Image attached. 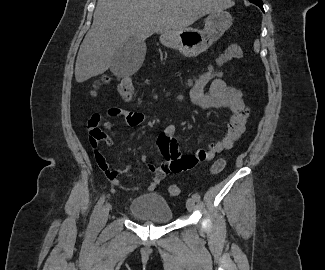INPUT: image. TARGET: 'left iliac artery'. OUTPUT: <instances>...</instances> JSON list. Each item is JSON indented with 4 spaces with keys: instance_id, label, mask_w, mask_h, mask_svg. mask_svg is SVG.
Masks as SVG:
<instances>
[{
    "instance_id": "obj_1",
    "label": "left iliac artery",
    "mask_w": 325,
    "mask_h": 270,
    "mask_svg": "<svg viewBox=\"0 0 325 270\" xmlns=\"http://www.w3.org/2000/svg\"><path fill=\"white\" fill-rule=\"evenodd\" d=\"M192 198L195 200V201H199L200 200V195L198 193H194L192 195Z\"/></svg>"
}]
</instances>
